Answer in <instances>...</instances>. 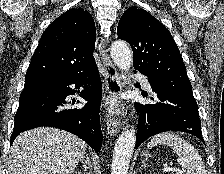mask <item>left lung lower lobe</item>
<instances>
[{
  "instance_id": "left-lung-lower-lobe-1",
  "label": "left lung lower lobe",
  "mask_w": 224,
  "mask_h": 174,
  "mask_svg": "<svg viewBox=\"0 0 224 174\" xmlns=\"http://www.w3.org/2000/svg\"><path fill=\"white\" fill-rule=\"evenodd\" d=\"M155 104L135 103L140 114L136 147L151 136L166 131H182L204 142L197 102L190 82L149 78Z\"/></svg>"
}]
</instances>
